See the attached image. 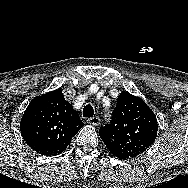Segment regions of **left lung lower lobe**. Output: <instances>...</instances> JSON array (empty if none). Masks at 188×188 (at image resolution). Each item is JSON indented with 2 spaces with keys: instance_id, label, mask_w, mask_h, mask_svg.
I'll use <instances>...</instances> for the list:
<instances>
[{
  "instance_id": "1",
  "label": "left lung lower lobe",
  "mask_w": 188,
  "mask_h": 188,
  "mask_svg": "<svg viewBox=\"0 0 188 188\" xmlns=\"http://www.w3.org/2000/svg\"><path fill=\"white\" fill-rule=\"evenodd\" d=\"M106 147L109 149V151L115 155L116 157L118 158H121V159H129V157H127L126 154L120 152L118 149L114 148L113 146H111L110 144L108 143H105Z\"/></svg>"
}]
</instances>
